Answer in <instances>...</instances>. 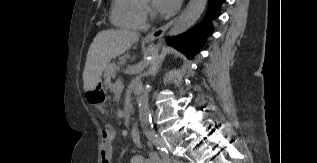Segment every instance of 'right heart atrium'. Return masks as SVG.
<instances>
[{
    "label": "right heart atrium",
    "mask_w": 317,
    "mask_h": 163,
    "mask_svg": "<svg viewBox=\"0 0 317 163\" xmlns=\"http://www.w3.org/2000/svg\"><path fill=\"white\" fill-rule=\"evenodd\" d=\"M144 13H145V16H146V18L149 16V9H148V7L146 6V5H144Z\"/></svg>",
    "instance_id": "d8ad5b80"
}]
</instances>
